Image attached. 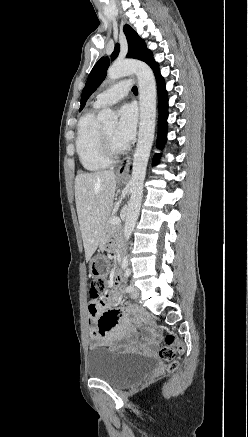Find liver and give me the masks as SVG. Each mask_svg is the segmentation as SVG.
I'll return each mask as SVG.
<instances>
[{
  "instance_id": "6515ba94",
  "label": "liver",
  "mask_w": 248,
  "mask_h": 437,
  "mask_svg": "<svg viewBox=\"0 0 248 437\" xmlns=\"http://www.w3.org/2000/svg\"><path fill=\"white\" fill-rule=\"evenodd\" d=\"M116 191L113 170L81 173L75 179V201L85 258L89 261L104 237Z\"/></svg>"
}]
</instances>
